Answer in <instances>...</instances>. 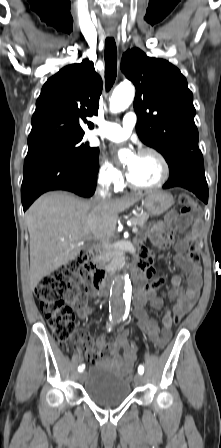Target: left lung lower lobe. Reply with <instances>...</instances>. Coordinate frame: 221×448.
Returning <instances> with one entry per match:
<instances>
[{
	"mask_svg": "<svg viewBox=\"0 0 221 448\" xmlns=\"http://www.w3.org/2000/svg\"><path fill=\"white\" fill-rule=\"evenodd\" d=\"M170 176L163 188L183 187L208 202V185L204 173L201 151L180 158L169 165Z\"/></svg>",
	"mask_w": 221,
	"mask_h": 448,
	"instance_id": "0a47b994",
	"label": "left lung lower lobe"
}]
</instances>
